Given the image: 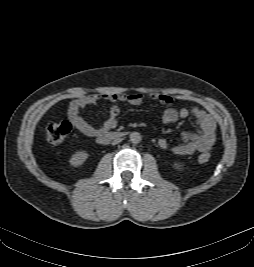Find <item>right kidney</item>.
<instances>
[{
  "instance_id": "1",
  "label": "right kidney",
  "mask_w": 254,
  "mask_h": 267,
  "mask_svg": "<svg viewBox=\"0 0 254 267\" xmlns=\"http://www.w3.org/2000/svg\"><path fill=\"white\" fill-rule=\"evenodd\" d=\"M87 158L88 153L86 151H77L71 156L69 162L72 166L77 167L82 165Z\"/></svg>"
}]
</instances>
